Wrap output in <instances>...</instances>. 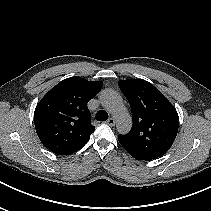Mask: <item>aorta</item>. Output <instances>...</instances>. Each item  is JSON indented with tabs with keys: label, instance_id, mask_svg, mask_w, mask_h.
Returning <instances> with one entry per match:
<instances>
[{
	"label": "aorta",
	"instance_id": "762f6f07",
	"mask_svg": "<svg viewBox=\"0 0 211 211\" xmlns=\"http://www.w3.org/2000/svg\"><path fill=\"white\" fill-rule=\"evenodd\" d=\"M101 105L110 112L120 134H127L132 126L131 116L121 98L112 90H103L100 95Z\"/></svg>",
	"mask_w": 211,
	"mask_h": 211
}]
</instances>
